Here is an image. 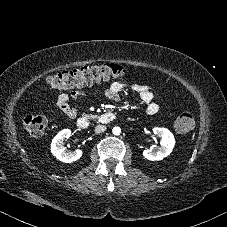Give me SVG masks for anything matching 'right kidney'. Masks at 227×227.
I'll use <instances>...</instances> for the list:
<instances>
[{
  "label": "right kidney",
  "mask_w": 227,
  "mask_h": 227,
  "mask_svg": "<svg viewBox=\"0 0 227 227\" xmlns=\"http://www.w3.org/2000/svg\"><path fill=\"white\" fill-rule=\"evenodd\" d=\"M71 136L70 129L61 130L52 140L51 143V153L61 162L71 163L74 162L82 156V151L77 149L73 152L66 150L64 146V140Z\"/></svg>",
  "instance_id": "right-kidney-1"
}]
</instances>
